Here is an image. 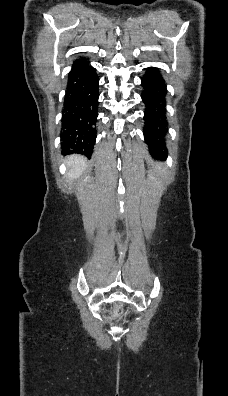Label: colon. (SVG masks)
I'll list each match as a JSON object with an SVG mask.
<instances>
[{"instance_id": "obj_1", "label": "colon", "mask_w": 228, "mask_h": 396, "mask_svg": "<svg viewBox=\"0 0 228 396\" xmlns=\"http://www.w3.org/2000/svg\"><path fill=\"white\" fill-rule=\"evenodd\" d=\"M116 309L119 311L121 309V307L120 306H116Z\"/></svg>"}]
</instances>
